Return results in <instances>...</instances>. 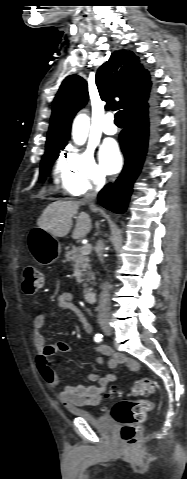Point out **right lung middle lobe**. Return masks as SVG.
I'll return each instance as SVG.
<instances>
[{
	"label": "right lung middle lobe",
	"mask_w": 187,
	"mask_h": 479,
	"mask_svg": "<svg viewBox=\"0 0 187 479\" xmlns=\"http://www.w3.org/2000/svg\"><path fill=\"white\" fill-rule=\"evenodd\" d=\"M60 150L62 149H52L46 151L41 162L40 182H44L52 163L59 157Z\"/></svg>",
	"instance_id": "right-lung-middle-lobe-1"
}]
</instances>
